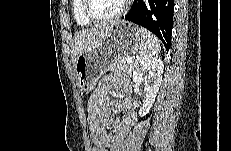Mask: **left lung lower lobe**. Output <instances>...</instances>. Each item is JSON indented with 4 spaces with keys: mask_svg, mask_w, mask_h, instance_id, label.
<instances>
[{
    "mask_svg": "<svg viewBox=\"0 0 231 151\" xmlns=\"http://www.w3.org/2000/svg\"><path fill=\"white\" fill-rule=\"evenodd\" d=\"M174 0H134L130 12L122 19L143 26L170 49Z\"/></svg>",
    "mask_w": 231,
    "mask_h": 151,
    "instance_id": "left-lung-lower-lobe-1",
    "label": "left lung lower lobe"
}]
</instances>
